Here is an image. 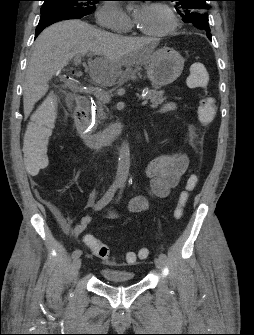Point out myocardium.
<instances>
[{
	"label": "myocardium",
	"mask_w": 254,
	"mask_h": 335,
	"mask_svg": "<svg viewBox=\"0 0 254 335\" xmlns=\"http://www.w3.org/2000/svg\"><path fill=\"white\" fill-rule=\"evenodd\" d=\"M153 6L161 8L168 14L170 21H171L170 26L166 30L162 32H158V33H149L141 29L140 27H138L139 31L146 36L156 37V38H164V37L171 35L178 27V17L175 11L168 4H164L161 2L154 3Z\"/></svg>",
	"instance_id": "1"
}]
</instances>
